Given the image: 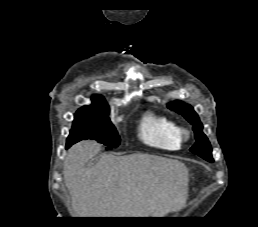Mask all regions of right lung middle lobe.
I'll use <instances>...</instances> for the list:
<instances>
[{
    "mask_svg": "<svg viewBox=\"0 0 258 227\" xmlns=\"http://www.w3.org/2000/svg\"><path fill=\"white\" fill-rule=\"evenodd\" d=\"M108 115L109 109H79L74 116L66 145L71 146L84 139H94L106 145V150L117 147L120 137Z\"/></svg>",
    "mask_w": 258,
    "mask_h": 227,
    "instance_id": "right-lung-middle-lobe-1",
    "label": "right lung middle lobe"
}]
</instances>
